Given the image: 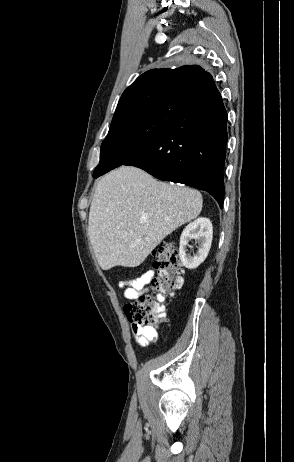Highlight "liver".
Returning a JSON list of instances; mask_svg holds the SVG:
<instances>
[{
  "label": "liver",
  "mask_w": 294,
  "mask_h": 462,
  "mask_svg": "<svg viewBox=\"0 0 294 462\" xmlns=\"http://www.w3.org/2000/svg\"><path fill=\"white\" fill-rule=\"evenodd\" d=\"M199 191L157 181L121 166L97 183L88 235L103 270L137 267L169 234L202 210Z\"/></svg>",
  "instance_id": "liver-1"
}]
</instances>
